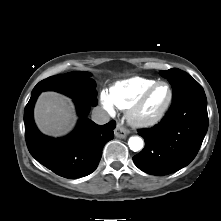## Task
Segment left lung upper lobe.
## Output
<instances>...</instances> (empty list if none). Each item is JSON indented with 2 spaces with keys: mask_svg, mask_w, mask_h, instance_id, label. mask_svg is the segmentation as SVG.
Returning a JSON list of instances; mask_svg holds the SVG:
<instances>
[{
  "mask_svg": "<svg viewBox=\"0 0 221 221\" xmlns=\"http://www.w3.org/2000/svg\"><path fill=\"white\" fill-rule=\"evenodd\" d=\"M161 75L170 82L173 89V98L185 91L201 87L188 73L177 68L162 71Z\"/></svg>",
  "mask_w": 221,
  "mask_h": 221,
  "instance_id": "1",
  "label": "left lung upper lobe"
}]
</instances>
